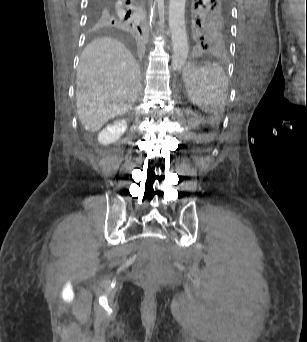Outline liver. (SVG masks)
I'll list each match as a JSON object with an SVG mask.
<instances>
[{"label":"liver","mask_w":307,"mask_h":342,"mask_svg":"<svg viewBox=\"0 0 307 342\" xmlns=\"http://www.w3.org/2000/svg\"><path fill=\"white\" fill-rule=\"evenodd\" d=\"M76 86L79 120L87 132L95 134L137 102L142 88L141 72L122 42L97 38L81 54Z\"/></svg>","instance_id":"6515ba94"}]
</instances>
